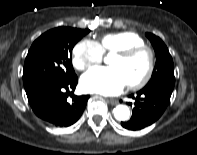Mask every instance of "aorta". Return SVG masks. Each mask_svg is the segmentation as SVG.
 <instances>
[{
    "mask_svg": "<svg viewBox=\"0 0 197 155\" xmlns=\"http://www.w3.org/2000/svg\"><path fill=\"white\" fill-rule=\"evenodd\" d=\"M114 117L119 121H126L130 117V110L126 105H117L113 109Z\"/></svg>",
    "mask_w": 197,
    "mask_h": 155,
    "instance_id": "762f6f07",
    "label": "aorta"
}]
</instances>
